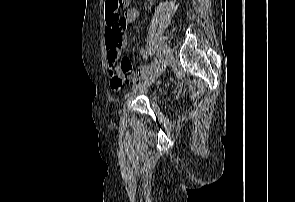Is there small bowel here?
I'll return each instance as SVG.
<instances>
[{"mask_svg": "<svg viewBox=\"0 0 295 202\" xmlns=\"http://www.w3.org/2000/svg\"><path fill=\"white\" fill-rule=\"evenodd\" d=\"M139 16L140 10L134 7L126 9L119 21H112L110 19L112 16L107 15L105 35L107 62L109 66L110 85L116 91L121 88L123 83L137 82L147 78L157 68V64L152 63L150 65L141 66L138 72H133L134 64L131 63V59H119L127 43L126 37L123 34V29L126 25L136 22ZM140 54L146 59L150 57V51L148 49H142ZM117 60L119 69L115 67V62Z\"/></svg>", "mask_w": 295, "mask_h": 202, "instance_id": "obj_1", "label": "small bowel"}]
</instances>
